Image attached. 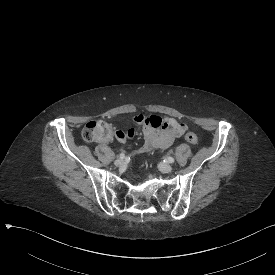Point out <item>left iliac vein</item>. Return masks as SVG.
Listing matches in <instances>:
<instances>
[{"mask_svg":"<svg viewBox=\"0 0 275 275\" xmlns=\"http://www.w3.org/2000/svg\"><path fill=\"white\" fill-rule=\"evenodd\" d=\"M159 168L163 173H170L172 171V166L166 163L160 164Z\"/></svg>","mask_w":275,"mask_h":275,"instance_id":"left-iliac-vein-1","label":"left iliac vein"}]
</instances>
